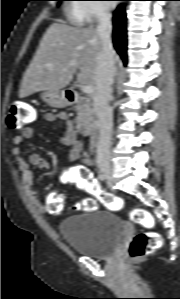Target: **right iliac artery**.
Masks as SVG:
<instances>
[{"mask_svg":"<svg viewBox=\"0 0 180 299\" xmlns=\"http://www.w3.org/2000/svg\"><path fill=\"white\" fill-rule=\"evenodd\" d=\"M98 178H99L101 181H103V180L105 179V176H104V174H99V175H98Z\"/></svg>","mask_w":180,"mask_h":299,"instance_id":"right-iliac-artery-1","label":"right iliac artery"}]
</instances>
